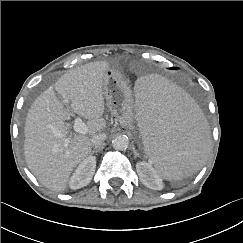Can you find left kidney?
Listing matches in <instances>:
<instances>
[{"label":"left kidney","instance_id":"1","mask_svg":"<svg viewBox=\"0 0 243 243\" xmlns=\"http://www.w3.org/2000/svg\"><path fill=\"white\" fill-rule=\"evenodd\" d=\"M136 169L140 180L146 187L154 190L162 189L163 182L151 164L147 162H138L136 164Z\"/></svg>","mask_w":243,"mask_h":243}]
</instances>
